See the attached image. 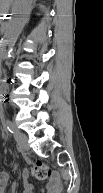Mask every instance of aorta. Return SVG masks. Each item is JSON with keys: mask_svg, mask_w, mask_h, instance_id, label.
<instances>
[{"mask_svg": "<svg viewBox=\"0 0 103 193\" xmlns=\"http://www.w3.org/2000/svg\"><path fill=\"white\" fill-rule=\"evenodd\" d=\"M32 3L33 0H15L12 16L4 34V42L9 50L14 46L25 25Z\"/></svg>", "mask_w": 103, "mask_h": 193, "instance_id": "762f6f07", "label": "aorta"}]
</instances>
